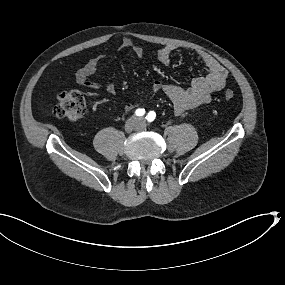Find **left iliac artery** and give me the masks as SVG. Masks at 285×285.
<instances>
[{
	"label": "left iliac artery",
	"mask_w": 285,
	"mask_h": 285,
	"mask_svg": "<svg viewBox=\"0 0 285 285\" xmlns=\"http://www.w3.org/2000/svg\"><path fill=\"white\" fill-rule=\"evenodd\" d=\"M156 117V113L154 111H150L148 113V115L146 116V119L149 121V122H152Z\"/></svg>",
	"instance_id": "44dca946"
}]
</instances>
